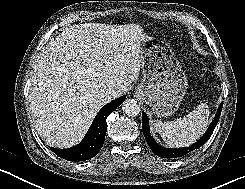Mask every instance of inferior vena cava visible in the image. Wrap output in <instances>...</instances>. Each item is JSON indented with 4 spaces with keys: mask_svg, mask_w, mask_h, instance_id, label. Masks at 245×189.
Listing matches in <instances>:
<instances>
[{
    "mask_svg": "<svg viewBox=\"0 0 245 189\" xmlns=\"http://www.w3.org/2000/svg\"><path fill=\"white\" fill-rule=\"evenodd\" d=\"M105 98L106 99H111L112 96L114 95V89L113 88H107L104 92Z\"/></svg>",
    "mask_w": 245,
    "mask_h": 189,
    "instance_id": "inferior-vena-cava-1",
    "label": "inferior vena cava"
}]
</instances>
